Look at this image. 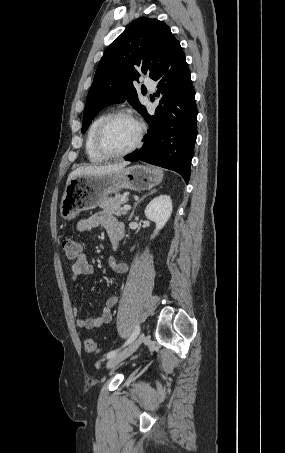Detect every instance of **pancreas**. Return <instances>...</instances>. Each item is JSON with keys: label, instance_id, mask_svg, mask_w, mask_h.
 <instances>
[{"label": "pancreas", "instance_id": "cf45deb5", "mask_svg": "<svg viewBox=\"0 0 285 453\" xmlns=\"http://www.w3.org/2000/svg\"><path fill=\"white\" fill-rule=\"evenodd\" d=\"M127 201V196L118 194L115 197L103 199L99 207L106 212L115 214L116 216H122L127 214V210L122 207V205H124Z\"/></svg>", "mask_w": 285, "mask_h": 453}]
</instances>
